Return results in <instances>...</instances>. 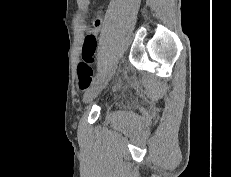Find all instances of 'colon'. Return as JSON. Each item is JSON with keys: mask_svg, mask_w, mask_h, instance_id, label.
Wrapping results in <instances>:
<instances>
[{"mask_svg": "<svg viewBox=\"0 0 231 177\" xmlns=\"http://www.w3.org/2000/svg\"><path fill=\"white\" fill-rule=\"evenodd\" d=\"M96 49V36L88 33L82 48V59L77 67L78 83L81 89L87 88L92 81L94 70L92 63Z\"/></svg>", "mask_w": 231, "mask_h": 177, "instance_id": "5ec220e1", "label": "colon"}]
</instances>
